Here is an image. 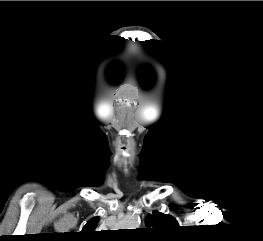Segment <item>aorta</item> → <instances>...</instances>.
Masks as SVG:
<instances>
[{
    "mask_svg": "<svg viewBox=\"0 0 263 241\" xmlns=\"http://www.w3.org/2000/svg\"><path fill=\"white\" fill-rule=\"evenodd\" d=\"M139 226V218L136 215H129L119 223L121 229H135Z\"/></svg>",
    "mask_w": 263,
    "mask_h": 241,
    "instance_id": "1",
    "label": "aorta"
}]
</instances>
